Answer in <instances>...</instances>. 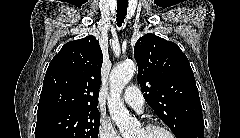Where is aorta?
Segmentation results:
<instances>
[{
	"label": "aorta",
	"instance_id": "aorta-1",
	"mask_svg": "<svg viewBox=\"0 0 240 138\" xmlns=\"http://www.w3.org/2000/svg\"><path fill=\"white\" fill-rule=\"evenodd\" d=\"M135 70L136 65L133 61H125L112 69L109 79L108 108L110 116L119 128L123 138H130L138 126V122L131 117L121 100V93L132 79Z\"/></svg>",
	"mask_w": 240,
	"mask_h": 138
}]
</instances>
